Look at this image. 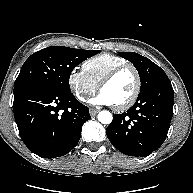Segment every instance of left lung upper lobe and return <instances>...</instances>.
Wrapping results in <instances>:
<instances>
[{"label": "left lung upper lobe", "instance_id": "5c2ea615", "mask_svg": "<svg viewBox=\"0 0 193 193\" xmlns=\"http://www.w3.org/2000/svg\"><path fill=\"white\" fill-rule=\"evenodd\" d=\"M118 55L132 62L137 69L141 80L140 93L148 89L158 79L167 76L162 68L138 53L119 52Z\"/></svg>", "mask_w": 193, "mask_h": 193}]
</instances>
